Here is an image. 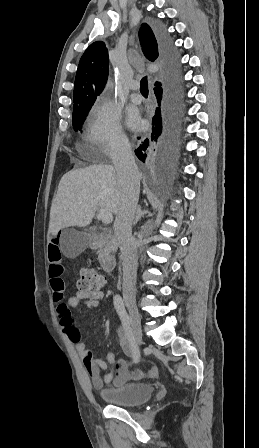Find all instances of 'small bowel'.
I'll return each mask as SVG.
<instances>
[{
	"label": "small bowel",
	"mask_w": 259,
	"mask_h": 448,
	"mask_svg": "<svg viewBox=\"0 0 259 448\" xmlns=\"http://www.w3.org/2000/svg\"><path fill=\"white\" fill-rule=\"evenodd\" d=\"M47 261L49 267L50 286L53 292V299L56 302V313L60 327L69 340L74 343L77 352L80 354L83 365L91 379L93 386L97 389L104 388L111 383L114 386L122 385L130 380H140L143 378H153L157 375V367L151 366L146 371L129 370L124 360L116 361L112 352H108L106 360L96 359L86 348L81 340L79 330L74 326L71 308L84 305L89 309L97 308L103 298L102 293L96 295L84 294L76 291L67 302L63 301L65 294V283L62 279L64 267L62 264V253L59 246V232L49 231L47 243ZM117 338L119 345L126 357H133L132 346L123 328H118ZM115 367V373L108 372V366Z\"/></svg>",
	"instance_id": "obj_1"
}]
</instances>
